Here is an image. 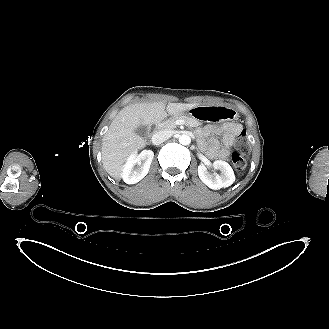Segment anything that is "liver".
I'll return each instance as SVG.
<instances>
[{"label": "liver", "instance_id": "1", "mask_svg": "<svg viewBox=\"0 0 329 329\" xmlns=\"http://www.w3.org/2000/svg\"><path fill=\"white\" fill-rule=\"evenodd\" d=\"M197 105L168 103L166 106L164 102H152L124 107L116 115L102 140V162L106 172L115 180H120L123 164L128 156L146 146V141L134 131L137 127L158 123L168 115L179 116L181 112Z\"/></svg>", "mask_w": 329, "mask_h": 329}]
</instances>
